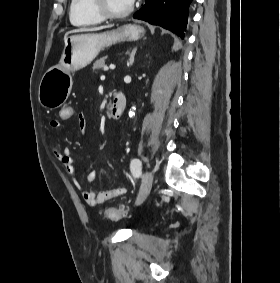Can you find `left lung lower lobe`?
Masks as SVG:
<instances>
[{"instance_id": "left-lung-lower-lobe-1", "label": "left lung lower lobe", "mask_w": 280, "mask_h": 283, "mask_svg": "<svg viewBox=\"0 0 280 283\" xmlns=\"http://www.w3.org/2000/svg\"><path fill=\"white\" fill-rule=\"evenodd\" d=\"M191 2L192 0H146L133 17L171 30L183 38Z\"/></svg>"}]
</instances>
